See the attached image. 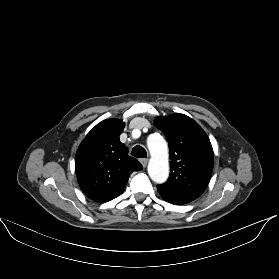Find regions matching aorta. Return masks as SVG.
<instances>
[{
    "mask_svg": "<svg viewBox=\"0 0 279 279\" xmlns=\"http://www.w3.org/2000/svg\"><path fill=\"white\" fill-rule=\"evenodd\" d=\"M151 154L148 164V174L156 183H164L169 176L168 146L164 138L158 134H151L147 139Z\"/></svg>",
    "mask_w": 279,
    "mask_h": 279,
    "instance_id": "aorta-1",
    "label": "aorta"
}]
</instances>
